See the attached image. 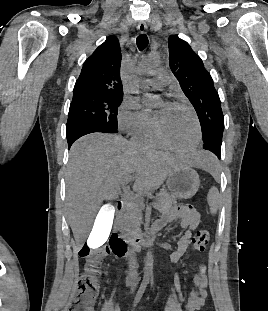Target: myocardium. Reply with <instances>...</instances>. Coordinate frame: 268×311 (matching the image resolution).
Wrapping results in <instances>:
<instances>
[{
	"mask_svg": "<svg viewBox=\"0 0 268 311\" xmlns=\"http://www.w3.org/2000/svg\"><path fill=\"white\" fill-rule=\"evenodd\" d=\"M171 105H174L176 107H179V108H182V109L188 111L190 113V115L192 116L194 123H195V127H196V139H195L194 143L188 148H180V147H177V146L171 144L162 134L160 127H159L158 120H157L156 116L154 115L153 126H154L155 134L163 146H165L171 150H174L176 152H179V153H183V154L191 153L197 149V147L199 146L201 139H202V129H201V124H200L199 118H198L196 112L190 106H188L182 102H172Z\"/></svg>",
	"mask_w": 268,
	"mask_h": 311,
	"instance_id": "myocardium-1",
	"label": "myocardium"
}]
</instances>
